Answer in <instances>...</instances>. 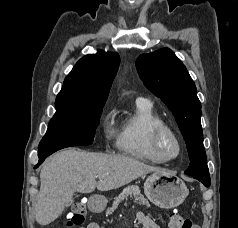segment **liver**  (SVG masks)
Here are the masks:
<instances>
[{
	"instance_id": "6515ba94",
	"label": "liver",
	"mask_w": 238,
	"mask_h": 228,
	"mask_svg": "<svg viewBox=\"0 0 238 228\" xmlns=\"http://www.w3.org/2000/svg\"><path fill=\"white\" fill-rule=\"evenodd\" d=\"M162 171L125 155L88 153L72 148L60 151L41 168L36 221L44 226L56 220L72 203L75 191L92 193L95 188L109 191L148 173Z\"/></svg>"
}]
</instances>
